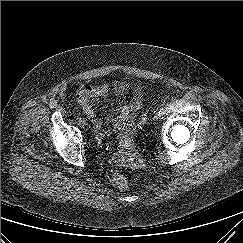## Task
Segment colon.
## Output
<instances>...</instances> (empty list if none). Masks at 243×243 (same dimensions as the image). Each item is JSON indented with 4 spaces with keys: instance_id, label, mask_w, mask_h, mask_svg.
Returning <instances> with one entry per match:
<instances>
[{
    "instance_id": "1",
    "label": "colon",
    "mask_w": 243,
    "mask_h": 243,
    "mask_svg": "<svg viewBox=\"0 0 243 243\" xmlns=\"http://www.w3.org/2000/svg\"><path fill=\"white\" fill-rule=\"evenodd\" d=\"M112 183L116 188L125 189L128 186V179L122 173H115L112 177Z\"/></svg>"
}]
</instances>
